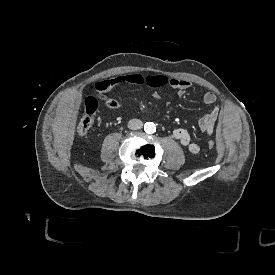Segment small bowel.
I'll list each match as a JSON object with an SVG mask.
<instances>
[{"label": "small bowel", "mask_w": 275, "mask_h": 275, "mask_svg": "<svg viewBox=\"0 0 275 275\" xmlns=\"http://www.w3.org/2000/svg\"><path fill=\"white\" fill-rule=\"evenodd\" d=\"M124 84H147L152 88L170 86L177 90L179 96L184 95L192 86V83L188 80L169 78L168 76L161 73L151 74L147 77H144L139 73H129L100 82L98 84V89L101 91H107ZM152 96L154 100H160V95L158 92H154ZM202 100L204 104L213 106V108L199 120L198 126L201 132L211 135L214 131V125L219 116L217 96L213 92H206L204 93ZM173 137L178 140L181 145L186 147L192 154H197L200 151L199 145L192 141L191 135L186 129H175L173 131Z\"/></svg>", "instance_id": "1"}]
</instances>
